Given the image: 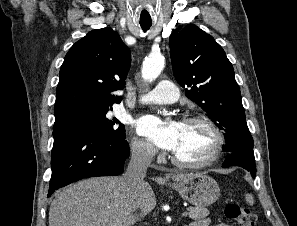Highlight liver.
<instances>
[{
  "label": "liver",
  "mask_w": 297,
  "mask_h": 226,
  "mask_svg": "<svg viewBox=\"0 0 297 226\" xmlns=\"http://www.w3.org/2000/svg\"><path fill=\"white\" fill-rule=\"evenodd\" d=\"M191 174L171 175L180 181ZM156 197L148 183L132 194L123 177H95L61 191L52 201L49 226H131L154 209ZM139 211V214H134Z\"/></svg>",
  "instance_id": "obj_1"
}]
</instances>
